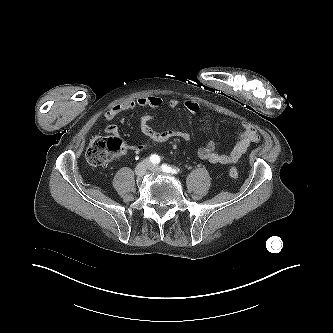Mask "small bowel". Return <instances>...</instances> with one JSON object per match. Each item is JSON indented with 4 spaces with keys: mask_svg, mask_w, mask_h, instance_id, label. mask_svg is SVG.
I'll return each instance as SVG.
<instances>
[{
    "mask_svg": "<svg viewBox=\"0 0 333 333\" xmlns=\"http://www.w3.org/2000/svg\"><path fill=\"white\" fill-rule=\"evenodd\" d=\"M183 105L190 113L196 114L200 111V105L194 100H185L180 102L177 99H170L164 101L160 96L149 95L142 96L133 100H128L123 103L117 104L111 107L105 114L104 120L111 121L120 116V121H125V116L131 110L141 107L158 109L165 105L170 109L177 108ZM154 120L152 114H143L140 117V131L142 134L152 143H163L171 139L179 138L184 141L190 140V134L183 130H167L158 132L155 131L151 122ZM106 133L119 137V129L116 125L110 124L104 128ZM238 139L234 143L228 154L218 152L216 150V143L213 140L208 141L205 145L197 149V155L200 159L206 160L213 164L219 165H232L239 162L248 152L249 146L252 143L260 141V135L258 131L248 122H242L237 127ZM147 147L144 145L130 146V149L134 152H140Z\"/></svg>",
    "mask_w": 333,
    "mask_h": 333,
    "instance_id": "obj_1",
    "label": "small bowel"
}]
</instances>
